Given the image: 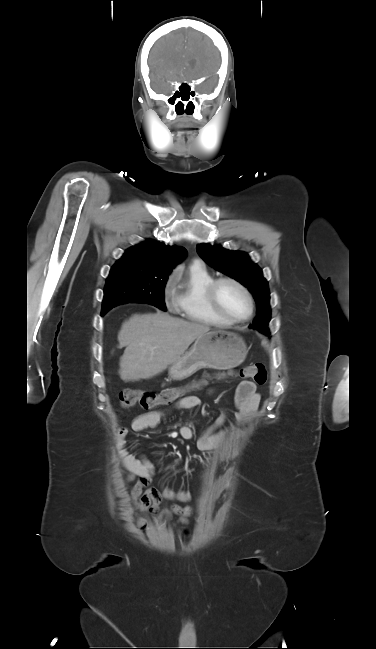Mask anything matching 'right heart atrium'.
<instances>
[{
  "label": "right heart atrium",
  "mask_w": 376,
  "mask_h": 649,
  "mask_svg": "<svg viewBox=\"0 0 376 649\" xmlns=\"http://www.w3.org/2000/svg\"><path fill=\"white\" fill-rule=\"evenodd\" d=\"M172 280L173 276H169L164 287V300L169 308H173L175 304V297L171 290Z\"/></svg>",
  "instance_id": "1"
}]
</instances>
